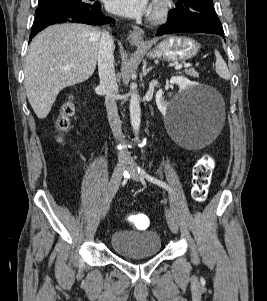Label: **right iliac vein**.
<instances>
[{
  "mask_svg": "<svg viewBox=\"0 0 267 301\" xmlns=\"http://www.w3.org/2000/svg\"><path fill=\"white\" fill-rule=\"evenodd\" d=\"M124 169H125L124 166H118L115 168V170L112 174L108 188L104 194V202H103V206H102V210H101V218L102 219L105 218V215L110 206L109 202L112 200V198L114 197V195L119 187Z\"/></svg>",
  "mask_w": 267,
  "mask_h": 301,
  "instance_id": "1",
  "label": "right iliac vein"
}]
</instances>
